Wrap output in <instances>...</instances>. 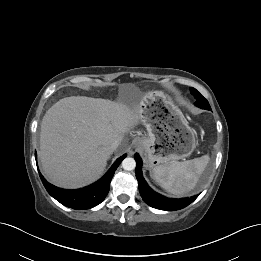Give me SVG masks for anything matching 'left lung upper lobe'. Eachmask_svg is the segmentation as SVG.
<instances>
[{"instance_id": "1", "label": "left lung upper lobe", "mask_w": 261, "mask_h": 261, "mask_svg": "<svg viewBox=\"0 0 261 261\" xmlns=\"http://www.w3.org/2000/svg\"><path fill=\"white\" fill-rule=\"evenodd\" d=\"M191 94L194 95L196 102L195 105L206 110H211L208 101L194 88H190Z\"/></svg>"}]
</instances>
